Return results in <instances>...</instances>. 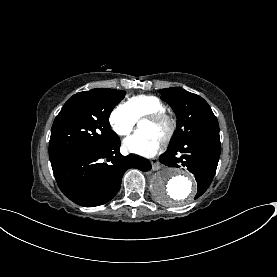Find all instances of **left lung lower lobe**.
Segmentation results:
<instances>
[{"mask_svg": "<svg viewBox=\"0 0 277 277\" xmlns=\"http://www.w3.org/2000/svg\"><path fill=\"white\" fill-rule=\"evenodd\" d=\"M221 152L219 133L198 135L179 143L159 157L169 167H187L198 184L196 198L209 187L215 175Z\"/></svg>", "mask_w": 277, "mask_h": 277, "instance_id": "obj_1", "label": "left lung lower lobe"}]
</instances>
